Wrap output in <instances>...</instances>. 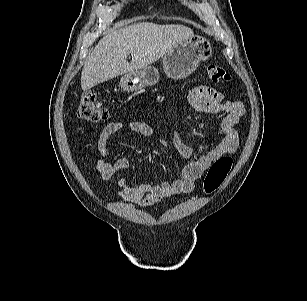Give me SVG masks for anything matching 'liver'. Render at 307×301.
<instances>
[{
	"instance_id": "liver-1",
	"label": "liver",
	"mask_w": 307,
	"mask_h": 301,
	"mask_svg": "<svg viewBox=\"0 0 307 301\" xmlns=\"http://www.w3.org/2000/svg\"><path fill=\"white\" fill-rule=\"evenodd\" d=\"M193 36L183 25L141 22L113 30L95 46L81 73V87L87 91L119 75L143 69L156 62L180 41ZM131 54V63L127 61Z\"/></svg>"
}]
</instances>
